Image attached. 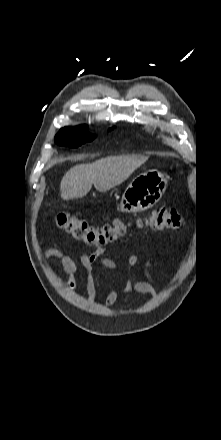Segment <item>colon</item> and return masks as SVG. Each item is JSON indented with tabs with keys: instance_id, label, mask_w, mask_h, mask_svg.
Returning a JSON list of instances; mask_svg holds the SVG:
<instances>
[{
	"instance_id": "colon-1",
	"label": "colon",
	"mask_w": 221,
	"mask_h": 440,
	"mask_svg": "<svg viewBox=\"0 0 221 440\" xmlns=\"http://www.w3.org/2000/svg\"><path fill=\"white\" fill-rule=\"evenodd\" d=\"M183 221V215L177 209L157 207L147 218L138 219L136 226L155 230H175L183 224ZM56 222L59 228L73 239L96 248L114 243L128 231L130 226L124 217L118 216L111 223L95 227L68 213L58 214Z\"/></svg>"
}]
</instances>
